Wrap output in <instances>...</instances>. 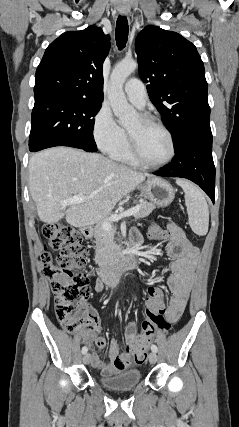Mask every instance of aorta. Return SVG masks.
<instances>
[{
  "instance_id": "1",
  "label": "aorta",
  "mask_w": 239,
  "mask_h": 427,
  "mask_svg": "<svg viewBox=\"0 0 239 427\" xmlns=\"http://www.w3.org/2000/svg\"><path fill=\"white\" fill-rule=\"evenodd\" d=\"M136 68L137 63L134 60H124L118 63L111 73L108 99L114 115L118 118L121 125L128 124L136 116L135 109L127 102L123 91V85L127 77Z\"/></svg>"
}]
</instances>
